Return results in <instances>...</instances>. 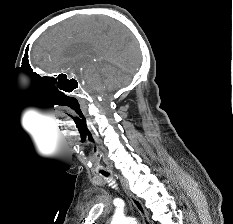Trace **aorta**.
<instances>
[{"mask_svg": "<svg viewBox=\"0 0 233 224\" xmlns=\"http://www.w3.org/2000/svg\"><path fill=\"white\" fill-rule=\"evenodd\" d=\"M111 224H137V221L131 217L115 216Z\"/></svg>", "mask_w": 233, "mask_h": 224, "instance_id": "762f6f07", "label": "aorta"}]
</instances>
